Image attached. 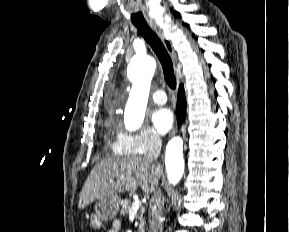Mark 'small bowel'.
<instances>
[{
	"mask_svg": "<svg viewBox=\"0 0 289 232\" xmlns=\"http://www.w3.org/2000/svg\"><path fill=\"white\" fill-rule=\"evenodd\" d=\"M119 230H120V224H119V222H114V223L112 224V226L108 229L107 232H119Z\"/></svg>",
	"mask_w": 289,
	"mask_h": 232,
	"instance_id": "c3829d8e",
	"label": "small bowel"
}]
</instances>
